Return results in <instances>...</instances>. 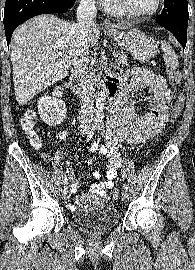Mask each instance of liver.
I'll return each instance as SVG.
<instances>
[{
  "instance_id": "liver-1",
  "label": "liver",
  "mask_w": 195,
  "mask_h": 270,
  "mask_svg": "<svg viewBox=\"0 0 195 270\" xmlns=\"http://www.w3.org/2000/svg\"><path fill=\"white\" fill-rule=\"evenodd\" d=\"M74 25L54 15H40L14 31L10 57L19 105L68 75L76 49ZM99 37L100 30L95 24L88 32L89 47Z\"/></svg>"
}]
</instances>
